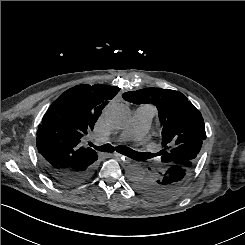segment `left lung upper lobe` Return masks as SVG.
Masks as SVG:
<instances>
[{"mask_svg": "<svg viewBox=\"0 0 245 245\" xmlns=\"http://www.w3.org/2000/svg\"><path fill=\"white\" fill-rule=\"evenodd\" d=\"M122 97L134 104L151 103L157 107L164 147L159 155L164 164L180 159L197 160L206 139L205 124L201 113L182 93L144 88L126 92Z\"/></svg>", "mask_w": 245, "mask_h": 245, "instance_id": "1", "label": "left lung upper lobe"}]
</instances>
